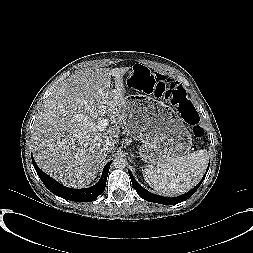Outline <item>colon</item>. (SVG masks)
Listing matches in <instances>:
<instances>
[{
	"label": "colon",
	"instance_id": "colon-1",
	"mask_svg": "<svg viewBox=\"0 0 253 253\" xmlns=\"http://www.w3.org/2000/svg\"><path fill=\"white\" fill-rule=\"evenodd\" d=\"M150 76L149 70L145 67L137 65L134 66L131 73V80L134 79H148ZM157 94L165 95L171 100L173 104L177 106L178 111L182 115L183 119L192 125V133L196 139H201L204 135L203 128L199 125V116L187 97V93L184 88L177 85L174 82L167 80H161L157 85Z\"/></svg>",
	"mask_w": 253,
	"mask_h": 253
}]
</instances>
